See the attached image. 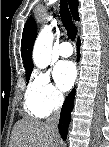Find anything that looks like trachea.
I'll return each mask as SVG.
<instances>
[{
	"label": "trachea",
	"mask_w": 109,
	"mask_h": 147,
	"mask_svg": "<svg viewBox=\"0 0 109 147\" xmlns=\"http://www.w3.org/2000/svg\"><path fill=\"white\" fill-rule=\"evenodd\" d=\"M60 16L62 23L67 30L68 37L71 40H74L77 34V27L73 24L68 4L65 0H62L60 2Z\"/></svg>",
	"instance_id": "3493384b"
}]
</instances>
